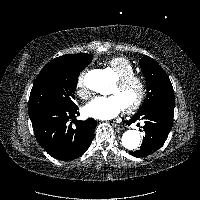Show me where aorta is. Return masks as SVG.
Masks as SVG:
<instances>
[{
	"label": "aorta",
	"instance_id": "obj_1",
	"mask_svg": "<svg viewBox=\"0 0 200 200\" xmlns=\"http://www.w3.org/2000/svg\"><path fill=\"white\" fill-rule=\"evenodd\" d=\"M86 86L95 92L104 94L108 81L100 70L91 71L85 77ZM140 134L136 130H127L122 136V145L128 150H135L140 144Z\"/></svg>",
	"mask_w": 200,
	"mask_h": 200
}]
</instances>
